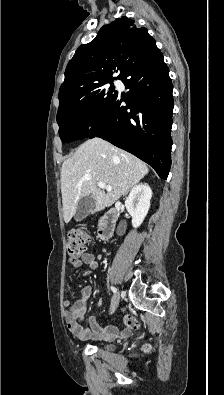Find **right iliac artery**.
<instances>
[{"label": "right iliac artery", "instance_id": "obj_1", "mask_svg": "<svg viewBox=\"0 0 224 395\" xmlns=\"http://www.w3.org/2000/svg\"><path fill=\"white\" fill-rule=\"evenodd\" d=\"M111 290H112V292L114 293V296H115L117 294V289L115 287L111 286Z\"/></svg>", "mask_w": 224, "mask_h": 395}]
</instances>
